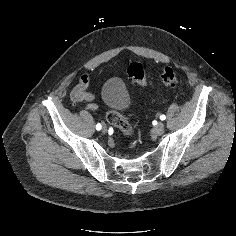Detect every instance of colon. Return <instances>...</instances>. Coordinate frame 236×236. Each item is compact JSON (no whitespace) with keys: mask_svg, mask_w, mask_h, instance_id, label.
Returning a JSON list of instances; mask_svg holds the SVG:
<instances>
[{"mask_svg":"<svg viewBox=\"0 0 236 236\" xmlns=\"http://www.w3.org/2000/svg\"><path fill=\"white\" fill-rule=\"evenodd\" d=\"M127 76L137 85L146 86L148 80L142 64L131 63L126 70ZM162 83L166 87H175L178 84V76L171 67H164L160 75ZM108 123L119 129L124 135L130 136L133 133L132 125L116 110L107 112Z\"/></svg>","mask_w":236,"mask_h":236,"instance_id":"obj_1","label":"colon"}]
</instances>
